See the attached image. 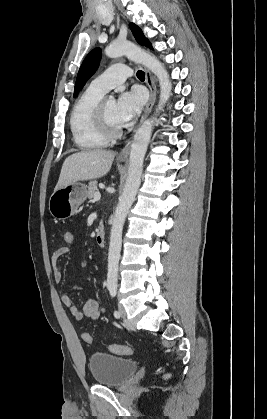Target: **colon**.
<instances>
[{
    "instance_id": "5ec220e1",
    "label": "colon",
    "mask_w": 267,
    "mask_h": 419,
    "mask_svg": "<svg viewBox=\"0 0 267 419\" xmlns=\"http://www.w3.org/2000/svg\"><path fill=\"white\" fill-rule=\"evenodd\" d=\"M62 238L67 246H74V234L70 229H65L62 232ZM82 338L86 343L92 342V337L88 332H84ZM109 350L112 353L119 355H131L134 353L133 347L121 344H112L109 346Z\"/></svg>"
}]
</instances>
